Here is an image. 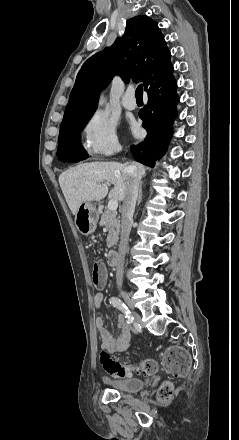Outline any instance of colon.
I'll return each instance as SVG.
<instances>
[{"label": "colon", "mask_w": 239, "mask_h": 440, "mask_svg": "<svg viewBox=\"0 0 239 440\" xmlns=\"http://www.w3.org/2000/svg\"><path fill=\"white\" fill-rule=\"evenodd\" d=\"M92 281L96 287H102L106 282V271L101 262L95 261L92 267ZM100 363L104 370L118 378L131 376L134 373L150 375L156 372L157 363L153 359H144L136 365L119 362L111 357L107 351L100 354ZM163 365L167 372L176 376H185L190 368V360L185 350L179 347L168 350L163 359ZM171 386L167 384L163 391L162 397H169Z\"/></svg>", "instance_id": "obj_1"}]
</instances>
